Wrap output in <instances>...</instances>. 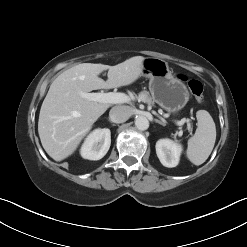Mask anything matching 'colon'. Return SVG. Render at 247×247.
Instances as JSON below:
<instances>
[{
	"mask_svg": "<svg viewBox=\"0 0 247 247\" xmlns=\"http://www.w3.org/2000/svg\"><path fill=\"white\" fill-rule=\"evenodd\" d=\"M180 78L187 83V86H188L190 92L194 95L196 100L198 102H202L203 93H204V88H203L202 83L198 80H195V79H188L185 76H180Z\"/></svg>",
	"mask_w": 247,
	"mask_h": 247,
	"instance_id": "1",
	"label": "colon"
}]
</instances>
